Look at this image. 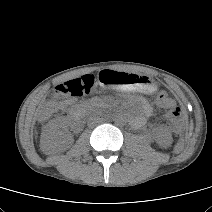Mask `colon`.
Returning a JSON list of instances; mask_svg holds the SVG:
<instances>
[{"label":"colon","instance_id":"obj_1","mask_svg":"<svg viewBox=\"0 0 212 212\" xmlns=\"http://www.w3.org/2000/svg\"><path fill=\"white\" fill-rule=\"evenodd\" d=\"M98 83H100L98 75L86 74L57 85L53 99L41 108L39 115L40 119H47L59 107L62 98H78L89 95ZM156 100L159 106L168 109L169 119L178 125L184 114L182 106L177 104L176 101L170 98L164 91L157 92Z\"/></svg>","mask_w":212,"mask_h":212}]
</instances>
